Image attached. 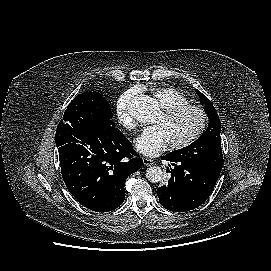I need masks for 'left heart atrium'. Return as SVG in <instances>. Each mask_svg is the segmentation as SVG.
I'll return each instance as SVG.
<instances>
[{
	"label": "left heart atrium",
	"instance_id": "39dd6f15",
	"mask_svg": "<svg viewBox=\"0 0 271 271\" xmlns=\"http://www.w3.org/2000/svg\"><path fill=\"white\" fill-rule=\"evenodd\" d=\"M170 140L159 124L145 128L135 140L136 150L149 157L162 153L169 145Z\"/></svg>",
	"mask_w": 271,
	"mask_h": 271
}]
</instances>
